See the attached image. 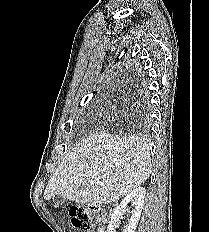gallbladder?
<instances>
[{"label":"gallbladder","instance_id":"obj_1","mask_svg":"<svg viewBox=\"0 0 209 232\" xmlns=\"http://www.w3.org/2000/svg\"><path fill=\"white\" fill-rule=\"evenodd\" d=\"M65 198L61 195H56L54 198H53V202L56 204V205H62L64 202H65Z\"/></svg>","mask_w":209,"mask_h":232}]
</instances>
